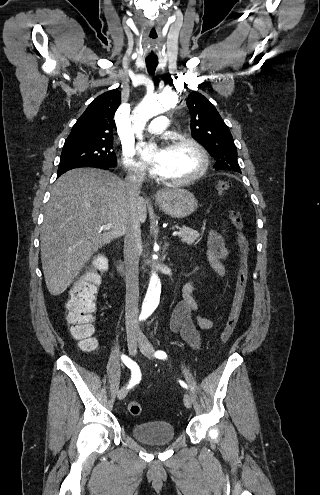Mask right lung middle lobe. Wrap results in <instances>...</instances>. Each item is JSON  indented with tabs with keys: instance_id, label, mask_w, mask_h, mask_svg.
Wrapping results in <instances>:
<instances>
[{
	"instance_id": "obj_1",
	"label": "right lung middle lobe",
	"mask_w": 320,
	"mask_h": 495,
	"mask_svg": "<svg viewBox=\"0 0 320 495\" xmlns=\"http://www.w3.org/2000/svg\"><path fill=\"white\" fill-rule=\"evenodd\" d=\"M112 141H66L60 157L58 173L89 165L117 164Z\"/></svg>"
}]
</instances>
